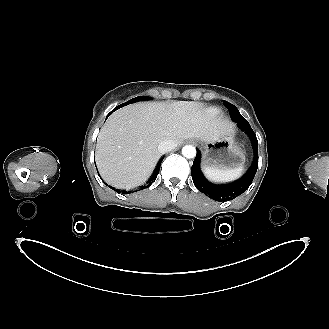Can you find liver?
<instances>
[{
	"mask_svg": "<svg viewBox=\"0 0 329 329\" xmlns=\"http://www.w3.org/2000/svg\"><path fill=\"white\" fill-rule=\"evenodd\" d=\"M234 132L214 107L194 101L152 102L114 112L102 127L96 146V164L102 178L119 189L144 183L161 152V141L180 144L188 138L211 142Z\"/></svg>",
	"mask_w": 329,
	"mask_h": 329,
	"instance_id": "6515ba94",
	"label": "liver"
}]
</instances>
